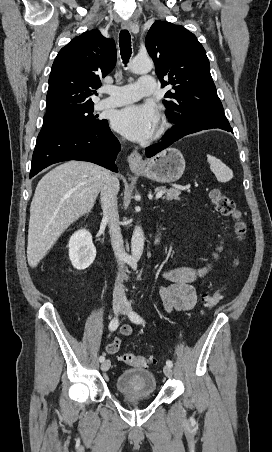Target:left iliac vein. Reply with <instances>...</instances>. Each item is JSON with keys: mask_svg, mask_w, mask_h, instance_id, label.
Returning <instances> with one entry per match:
<instances>
[{"mask_svg": "<svg viewBox=\"0 0 272 452\" xmlns=\"http://www.w3.org/2000/svg\"><path fill=\"white\" fill-rule=\"evenodd\" d=\"M131 310H132V309H131L130 304H129L128 302L125 301V302L123 303V307H122V309H121V314L129 316ZM163 372H164L165 376L168 377V378H171L172 375H173L172 368L169 367L168 365H165V366L163 367Z\"/></svg>", "mask_w": 272, "mask_h": 452, "instance_id": "left-iliac-vein-1", "label": "left iliac vein"}]
</instances>
